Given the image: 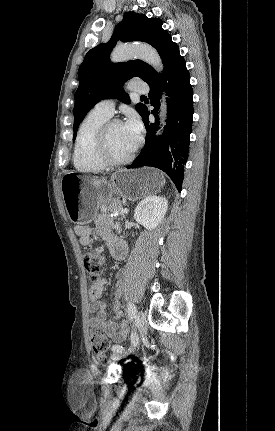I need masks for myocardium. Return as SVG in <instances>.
Listing matches in <instances>:
<instances>
[{"instance_id": "myocardium-1", "label": "myocardium", "mask_w": 275, "mask_h": 431, "mask_svg": "<svg viewBox=\"0 0 275 431\" xmlns=\"http://www.w3.org/2000/svg\"><path fill=\"white\" fill-rule=\"evenodd\" d=\"M115 124H121V121L118 119L107 120L99 130L96 138V155L106 167H120L127 165L133 160L135 154V151L132 150L127 157L122 159L114 158L111 155L108 147V133L111 127Z\"/></svg>"}]
</instances>
